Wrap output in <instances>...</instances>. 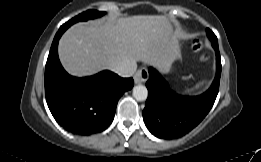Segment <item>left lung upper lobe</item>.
Here are the masks:
<instances>
[{"mask_svg": "<svg viewBox=\"0 0 261 162\" xmlns=\"http://www.w3.org/2000/svg\"><path fill=\"white\" fill-rule=\"evenodd\" d=\"M206 32H207L209 39L212 42L217 43V38H216L215 34L210 29H207Z\"/></svg>", "mask_w": 261, "mask_h": 162, "instance_id": "obj_1", "label": "left lung upper lobe"}]
</instances>
